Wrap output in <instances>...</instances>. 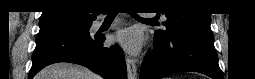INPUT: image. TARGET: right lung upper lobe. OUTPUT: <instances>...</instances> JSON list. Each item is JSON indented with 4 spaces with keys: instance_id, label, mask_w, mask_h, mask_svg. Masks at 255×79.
Instances as JSON below:
<instances>
[{
    "instance_id": "1",
    "label": "right lung upper lobe",
    "mask_w": 255,
    "mask_h": 79,
    "mask_svg": "<svg viewBox=\"0 0 255 79\" xmlns=\"http://www.w3.org/2000/svg\"><path fill=\"white\" fill-rule=\"evenodd\" d=\"M96 8L86 0H48L40 19L61 14H73L80 20L91 21L98 13Z\"/></svg>"
}]
</instances>
